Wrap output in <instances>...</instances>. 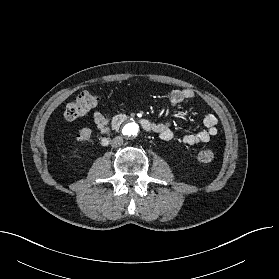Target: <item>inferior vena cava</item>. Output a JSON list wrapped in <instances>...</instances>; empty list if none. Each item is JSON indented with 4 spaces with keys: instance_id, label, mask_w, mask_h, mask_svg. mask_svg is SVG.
<instances>
[{
    "instance_id": "1",
    "label": "inferior vena cava",
    "mask_w": 279,
    "mask_h": 279,
    "mask_svg": "<svg viewBox=\"0 0 279 279\" xmlns=\"http://www.w3.org/2000/svg\"><path fill=\"white\" fill-rule=\"evenodd\" d=\"M123 142H124V140L122 137L116 136L115 138H113L111 140V145H112V147H119L123 144Z\"/></svg>"
}]
</instances>
